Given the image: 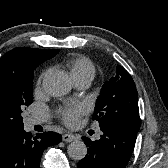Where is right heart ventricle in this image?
I'll return each mask as SVG.
<instances>
[{"mask_svg": "<svg viewBox=\"0 0 168 168\" xmlns=\"http://www.w3.org/2000/svg\"><path fill=\"white\" fill-rule=\"evenodd\" d=\"M65 66L70 75L77 81L82 78L93 79L96 73L93 62L84 56H71L65 61Z\"/></svg>", "mask_w": 168, "mask_h": 168, "instance_id": "obj_1", "label": "right heart ventricle"}]
</instances>
